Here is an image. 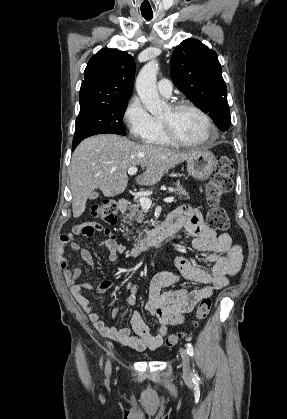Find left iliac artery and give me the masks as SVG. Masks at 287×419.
Here are the masks:
<instances>
[{"label": "left iliac artery", "instance_id": "1", "mask_svg": "<svg viewBox=\"0 0 287 419\" xmlns=\"http://www.w3.org/2000/svg\"><path fill=\"white\" fill-rule=\"evenodd\" d=\"M186 347H187V353H188L190 356H193V355H194V349H193V346H192L190 343H188V344L186 345ZM198 380H199V377H198L197 373H194V376H193V381H198Z\"/></svg>", "mask_w": 287, "mask_h": 419}]
</instances>
